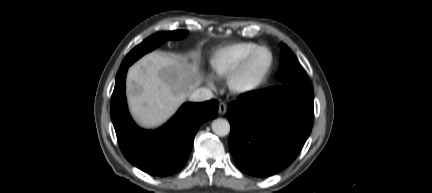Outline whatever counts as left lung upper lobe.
<instances>
[{
  "instance_id": "left-lung-upper-lobe-1",
  "label": "left lung upper lobe",
  "mask_w": 432,
  "mask_h": 193,
  "mask_svg": "<svg viewBox=\"0 0 432 193\" xmlns=\"http://www.w3.org/2000/svg\"><path fill=\"white\" fill-rule=\"evenodd\" d=\"M280 46L281 58L278 77L282 85L309 86L308 78L291 50L283 43Z\"/></svg>"
}]
</instances>
